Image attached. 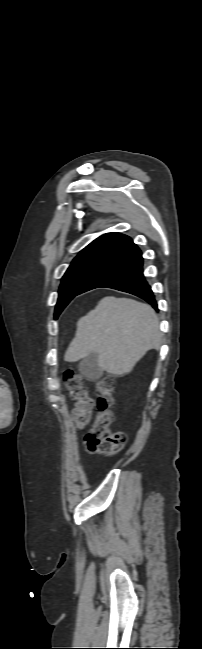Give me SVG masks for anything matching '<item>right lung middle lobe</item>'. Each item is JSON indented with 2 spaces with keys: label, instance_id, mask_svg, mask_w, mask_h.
<instances>
[{
  "label": "right lung middle lobe",
  "instance_id": "1",
  "mask_svg": "<svg viewBox=\"0 0 202 649\" xmlns=\"http://www.w3.org/2000/svg\"><path fill=\"white\" fill-rule=\"evenodd\" d=\"M114 257L115 255L107 253H90L74 258L62 278L55 308V319L66 305L79 294L90 278Z\"/></svg>",
  "mask_w": 202,
  "mask_h": 649
}]
</instances>
